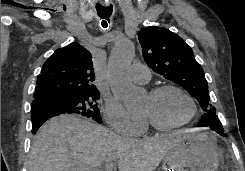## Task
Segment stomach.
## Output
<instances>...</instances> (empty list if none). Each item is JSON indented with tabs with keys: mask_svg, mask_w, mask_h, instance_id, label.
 Wrapping results in <instances>:
<instances>
[{
	"mask_svg": "<svg viewBox=\"0 0 245 171\" xmlns=\"http://www.w3.org/2000/svg\"><path fill=\"white\" fill-rule=\"evenodd\" d=\"M220 151L210 132L192 133L164 157V171H218Z\"/></svg>",
	"mask_w": 245,
	"mask_h": 171,
	"instance_id": "obj_1",
	"label": "stomach"
}]
</instances>
